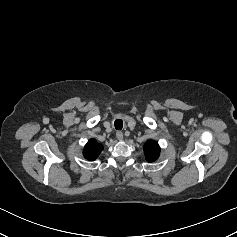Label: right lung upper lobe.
Here are the masks:
<instances>
[{"label": "right lung upper lobe", "instance_id": "cb5924a9", "mask_svg": "<svg viewBox=\"0 0 237 237\" xmlns=\"http://www.w3.org/2000/svg\"><path fill=\"white\" fill-rule=\"evenodd\" d=\"M102 150L103 146L100 143L95 139H90L85 145L83 155L87 160L93 161L99 156Z\"/></svg>", "mask_w": 237, "mask_h": 237}]
</instances>
